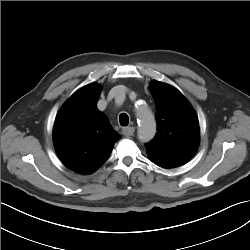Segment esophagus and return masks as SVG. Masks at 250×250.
Here are the masks:
<instances>
[{"instance_id":"esophagus-1","label":"esophagus","mask_w":250,"mask_h":250,"mask_svg":"<svg viewBox=\"0 0 250 250\" xmlns=\"http://www.w3.org/2000/svg\"><path fill=\"white\" fill-rule=\"evenodd\" d=\"M134 132H135L134 127H124L122 129V133L127 137L132 136L134 134Z\"/></svg>"}]
</instances>
